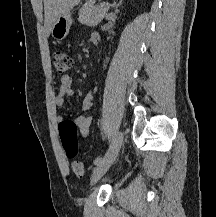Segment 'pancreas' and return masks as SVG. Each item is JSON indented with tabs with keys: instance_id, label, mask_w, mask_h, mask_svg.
I'll return each instance as SVG.
<instances>
[{
	"instance_id": "obj_1",
	"label": "pancreas",
	"mask_w": 216,
	"mask_h": 217,
	"mask_svg": "<svg viewBox=\"0 0 216 217\" xmlns=\"http://www.w3.org/2000/svg\"><path fill=\"white\" fill-rule=\"evenodd\" d=\"M108 9L107 3L94 5V1L89 0L80 8L78 19L87 26H96L103 20Z\"/></svg>"
}]
</instances>
